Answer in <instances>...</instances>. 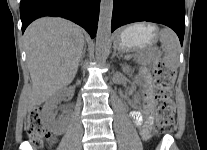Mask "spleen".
Returning a JSON list of instances; mask_svg holds the SVG:
<instances>
[{"mask_svg":"<svg viewBox=\"0 0 207 150\" xmlns=\"http://www.w3.org/2000/svg\"><path fill=\"white\" fill-rule=\"evenodd\" d=\"M160 42L164 48L163 61L166 68L175 70L179 64L180 42L177 35L169 28L160 31Z\"/></svg>","mask_w":207,"mask_h":150,"instance_id":"3e777b00","label":"spleen"}]
</instances>
